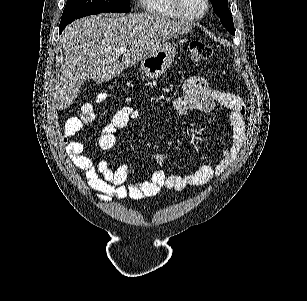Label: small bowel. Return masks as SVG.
I'll return each instance as SVG.
<instances>
[{"label":"small bowel","mask_w":307,"mask_h":301,"mask_svg":"<svg viewBox=\"0 0 307 301\" xmlns=\"http://www.w3.org/2000/svg\"><path fill=\"white\" fill-rule=\"evenodd\" d=\"M215 104L228 113L232 128L231 143L224 148L222 158L216 165H202L197 171L184 176L157 170L148 180L127 182L128 169L125 165L112 169L106 161L95 163L85 154L84 144L74 139L82 129L81 121L75 117L68 119L64 126L62 140L65 151L74 166L84 173L89 187L97 193V199L104 203L111 202L113 198L140 200L157 195L162 188L181 191L187 187L201 186L221 176L237 158L246 135L245 103L239 96L210 88L204 78L192 76L183 85V96L176 99L169 110L172 114L184 116L189 110L210 111ZM139 116L140 112L131 106L117 110L101 130L99 147L102 150L112 149L117 132ZM156 159L160 163L165 161L163 155H157Z\"/></svg>","instance_id":"1"}]
</instances>
